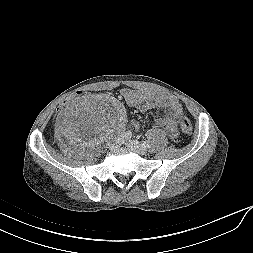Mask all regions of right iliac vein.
I'll use <instances>...</instances> for the list:
<instances>
[{
    "instance_id": "right-iliac-vein-1",
    "label": "right iliac vein",
    "mask_w": 253,
    "mask_h": 253,
    "mask_svg": "<svg viewBox=\"0 0 253 253\" xmlns=\"http://www.w3.org/2000/svg\"><path fill=\"white\" fill-rule=\"evenodd\" d=\"M122 142H123V137L122 136H120V137H118L112 144H111V148H117V147H119L121 144H122Z\"/></svg>"
}]
</instances>
